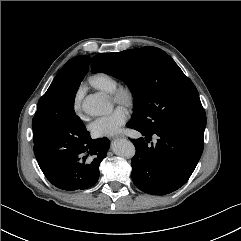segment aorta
<instances>
[{
	"mask_svg": "<svg viewBox=\"0 0 241 241\" xmlns=\"http://www.w3.org/2000/svg\"><path fill=\"white\" fill-rule=\"evenodd\" d=\"M112 106L106 96L100 93L90 94L82 102V110L91 116H101L111 112ZM113 152L123 158H132L136 149L127 139H118L112 143Z\"/></svg>",
	"mask_w": 241,
	"mask_h": 241,
	"instance_id": "aorta-1",
	"label": "aorta"
}]
</instances>
